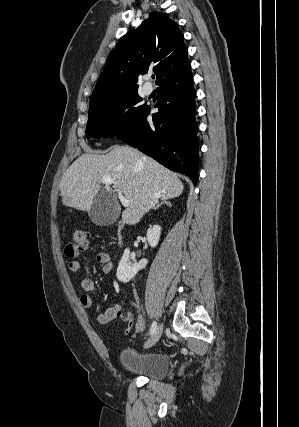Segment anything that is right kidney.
<instances>
[{
    "mask_svg": "<svg viewBox=\"0 0 299 427\" xmlns=\"http://www.w3.org/2000/svg\"><path fill=\"white\" fill-rule=\"evenodd\" d=\"M160 234L161 227L159 225H154L147 230V241L152 248L157 246ZM147 263L146 259H142L138 263L136 261L132 263L130 261V250L128 248L125 249L117 268V279L124 283L129 282L135 277L138 271L145 268Z\"/></svg>",
    "mask_w": 299,
    "mask_h": 427,
    "instance_id": "right-kidney-1",
    "label": "right kidney"
}]
</instances>
